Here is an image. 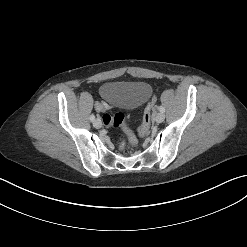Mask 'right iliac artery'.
<instances>
[{"instance_id":"1","label":"right iliac artery","mask_w":247,"mask_h":247,"mask_svg":"<svg viewBox=\"0 0 247 247\" xmlns=\"http://www.w3.org/2000/svg\"><path fill=\"white\" fill-rule=\"evenodd\" d=\"M94 120H95V115L92 114V115L90 116V121H91V122H94Z\"/></svg>"}]
</instances>
